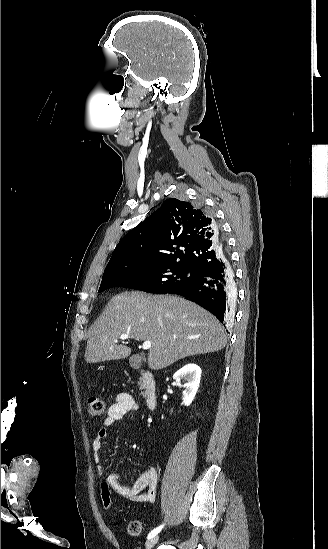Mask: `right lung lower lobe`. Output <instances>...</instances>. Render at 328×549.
<instances>
[{"instance_id": "1", "label": "right lung lower lobe", "mask_w": 328, "mask_h": 549, "mask_svg": "<svg viewBox=\"0 0 328 549\" xmlns=\"http://www.w3.org/2000/svg\"><path fill=\"white\" fill-rule=\"evenodd\" d=\"M234 292V274L226 256L218 263L198 271L197 277L190 283L164 293L188 297L226 324L229 313V293Z\"/></svg>"}]
</instances>
